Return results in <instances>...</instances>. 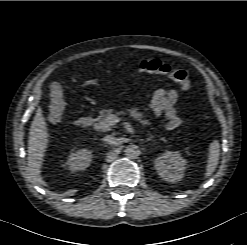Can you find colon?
<instances>
[{
  "mask_svg": "<svg viewBox=\"0 0 247 245\" xmlns=\"http://www.w3.org/2000/svg\"><path fill=\"white\" fill-rule=\"evenodd\" d=\"M139 73H148L167 76L176 82L182 91L189 90L191 86L189 72L186 69H175L158 59H144L136 64ZM51 102L48 110V117L52 122H58L65 110V95L60 84H53L50 88ZM183 125V119L175 115L168 119L167 128L176 130Z\"/></svg>",
  "mask_w": 247,
  "mask_h": 245,
  "instance_id": "1",
  "label": "colon"
}]
</instances>
